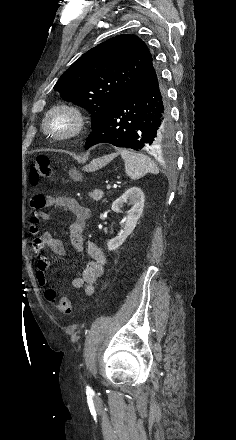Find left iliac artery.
I'll use <instances>...</instances> for the list:
<instances>
[{
    "mask_svg": "<svg viewBox=\"0 0 236 440\" xmlns=\"http://www.w3.org/2000/svg\"><path fill=\"white\" fill-rule=\"evenodd\" d=\"M86 388H87V390H90V389H91L89 386H87Z\"/></svg>",
    "mask_w": 236,
    "mask_h": 440,
    "instance_id": "44dca946",
    "label": "left iliac artery"
}]
</instances>
